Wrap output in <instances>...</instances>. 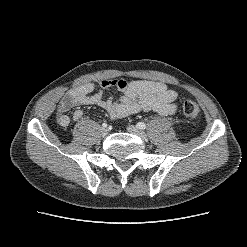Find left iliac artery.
<instances>
[{"label":"left iliac artery","instance_id":"1","mask_svg":"<svg viewBox=\"0 0 247 247\" xmlns=\"http://www.w3.org/2000/svg\"><path fill=\"white\" fill-rule=\"evenodd\" d=\"M139 129H145L146 128V124L144 122H138L136 125Z\"/></svg>","mask_w":247,"mask_h":247}]
</instances>
